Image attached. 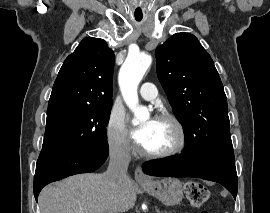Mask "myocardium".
I'll use <instances>...</instances> for the list:
<instances>
[{
    "label": "myocardium",
    "instance_id": "myocardium-1",
    "mask_svg": "<svg viewBox=\"0 0 270 213\" xmlns=\"http://www.w3.org/2000/svg\"><path fill=\"white\" fill-rule=\"evenodd\" d=\"M156 120L170 122L176 129V132L178 134V141L170 149L165 150V151H160V152H149L142 148L141 154L144 157L149 158V159H163V158H169V157H172L181 153L185 149L186 143H187L186 131L181 121L175 115L171 113H167V112L160 113L156 117Z\"/></svg>",
    "mask_w": 270,
    "mask_h": 213
}]
</instances>
